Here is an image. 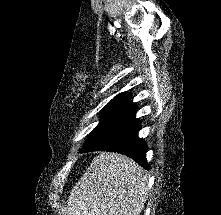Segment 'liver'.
<instances>
[{"label":"liver","mask_w":221,"mask_h":215,"mask_svg":"<svg viewBox=\"0 0 221 215\" xmlns=\"http://www.w3.org/2000/svg\"><path fill=\"white\" fill-rule=\"evenodd\" d=\"M147 176L131 158L113 152L94 157L70 192L67 215H140Z\"/></svg>","instance_id":"obj_1"}]
</instances>
